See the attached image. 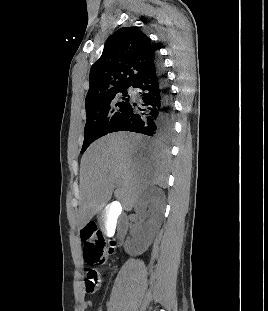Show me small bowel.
<instances>
[{"label":"small bowel","mask_w":268,"mask_h":311,"mask_svg":"<svg viewBox=\"0 0 268 311\" xmlns=\"http://www.w3.org/2000/svg\"><path fill=\"white\" fill-rule=\"evenodd\" d=\"M91 307H92V303H91L90 301H87V300L83 301V303H82V308H83L84 310H88V309L91 308Z\"/></svg>","instance_id":"c3829d8e"}]
</instances>
